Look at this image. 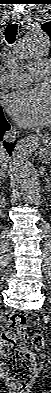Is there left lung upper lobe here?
Wrapping results in <instances>:
<instances>
[{"instance_id":"5c2ea615","label":"left lung upper lobe","mask_w":51,"mask_h":393,"mask_svg":"<svg viewBox=\"0 0 51 393\" xmlns=\"http://www.w3.org/2000/svg\"><path fill=\"white\" fill-rule=\"evenodd\" d=\"M41 28L43 29V31L47 32L51 38V22L42 24Z\"/></svg>"}]
</instances>
